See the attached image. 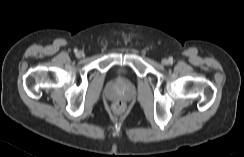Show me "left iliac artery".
I'll return each instance as SVG.
<instances>
[{"label": "left iliac artery", "instance_id": "obj_1", "mask_svg": "<svg viewBox=\"0 0 244 157\" xmlns=\"http://www.w3.org/2000/svg\"><path fill=\"white\" fill-rule=\"evenodd\" d=\"M169 62H170V63L173 62V58H172V57L169 58Z\"/></svg>", "mask_w": 244, "mask_h": 157}]
</instances>
